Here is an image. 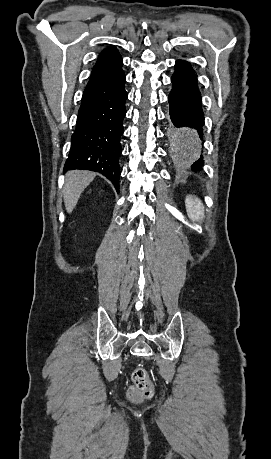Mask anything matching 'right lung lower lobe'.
Returning a JSON list of instances; mask_svg holds the SVG:
<instances>
[{"instance_id":"obj_1","label":"right lung lower lobe","mask_w":271,"mask_h":459,"mask_svg":"<svg viewBox=\"0 0 271 459\" xmlns=\"http://www.w3.org/2000/svg\"><path fill=\"white\" fill-rule=\"evenodd\" d=\"M123 71L88 82L64 171L91 170L106 176L119 191L120 137L126 114Z\"/></svg>"}]
</instances>
